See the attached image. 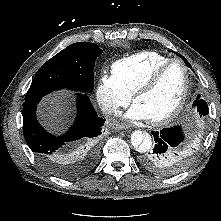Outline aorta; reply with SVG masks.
I'll use <instances>...</instances> for the list:
<instances>
[{
	"instance_id": "762f6f07",
	"label": "aorta",
	"mask_w": 221,
	"mask_h": 221,
	"mask_svg": "<svg viewBox=\"0 0 221 221\" xmlns=\"http://www.w3.org/2000/svg\"><path fill=\"white\" fill-rule=\"evenodd\" d=\"M132 146L141 153L147 152L152 146V137L149 133L136 130L131 134Z\"/></svg>"
}]
</instances>
